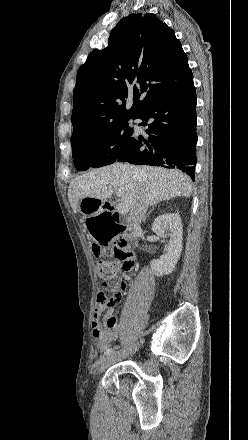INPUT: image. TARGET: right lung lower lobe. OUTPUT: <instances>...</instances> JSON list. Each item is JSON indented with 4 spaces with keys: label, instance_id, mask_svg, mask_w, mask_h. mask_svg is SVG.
Here are the masks:
<instances>
[{
    "label": "right lung lower lobe",
    "instance_id": "98d812e1",
    "mask_svg": "<svg viewBox=\"0 0 248 440\" xmlns=\"http://www.w3.org/2000/svg\"><path fill=\"white\" fill-rule=\"evenodd\" d=\"M196 103L192 80L143 104L132 118L143 120L140 125L147 126V136L131 137L127 151L117 161L178 168L194 181Z\"/></svg>",
    "mask_w": 248,
    "mask_h": 440
}]
</instances>
